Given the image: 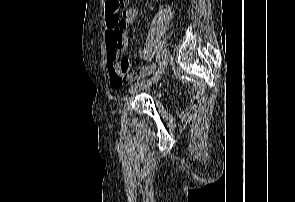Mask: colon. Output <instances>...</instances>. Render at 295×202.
<instances>
[{"label": "colon", "instance_id": "obj_1", "mask_svg": "<svg viewBox=\"0 0 295 202\" xmlns=\"http://www.w3.org/2000/svg\"><path fill=\"white\" fill-rule=\"evenodd\" d=\"M125 0H106V14L112 15V19L108 20L109 27H117L120 23L119 10L123 6ZM113 77H119L114 75Z\"/></svg>", "mask_w": 295, "mask_h": 202}]
</instances>
